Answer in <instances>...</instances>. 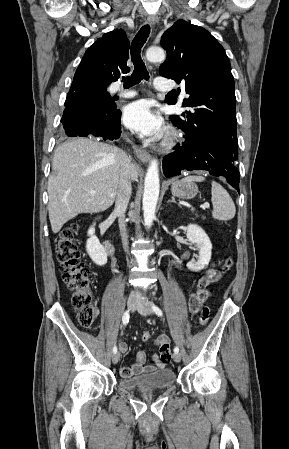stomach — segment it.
Returning a JSON list of instances; mask_svg holds the SVG:
<instances>
[{"label":"stomach","instance_id":"obj_1","mask_svg":"<svg viewBox=\"0 0 289 449\" xmlns=\"http://www.w3.org/2000/svg\"><path fill=\"white\" fill-rule=\"evenodd\" d=\"M171 192L180 199H192L198 193V187L194 182L177 180L172 183Z\"/></svg>","mask_w":289,"mask_h":449}]
</instances>
